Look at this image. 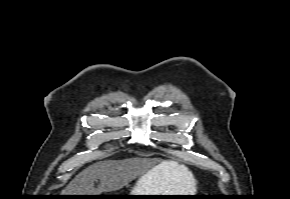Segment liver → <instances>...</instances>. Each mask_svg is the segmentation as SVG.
<instances>
[{
	"label": "liver",
	"instance_id": "obj_1",
	"mask_svg": "<svg viewBox=\"0 0 290 199\" xmlns=\"http://www.w3.org/2000/svg\"><path fill=\"white\" fill-rule=\"evenodd\" d=\"M155 167L170 192L186 190L193 183L188 168L175 161H163ZM149 168L148 160L139 158L96 162L81 171L62 191V195H100L116 191L149 172ZM96 179L100 180L97 188L94 187Z\"/></svg>",
	"mask_w": 290,
	"mask_h": 199
}]
</instances>
